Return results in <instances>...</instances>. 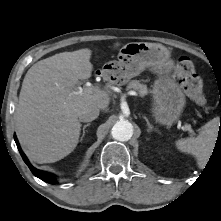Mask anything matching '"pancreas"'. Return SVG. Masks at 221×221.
<instances>
[{
  "mask_svg": "<svg viewBox=\"0 0 221 221\" xmlns=\"http://www.w3.org/2000/svg\"><path fill=\"white\" fill-rule=\"evenodd\" d=\"M127 89H134L138 91L141 97H144L145 95L148 94L147 86L141 84L138 80H132L131 82H129Z\"/></svg>",
  "mask_w": 221,
  "mask_h": 221,
  "instance_id": "1",
  "label": "pancreas"
}]
</instances>
